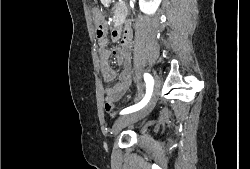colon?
Wrapping results in <instances>:
<instances>
[{
	"mask_svg": "<svg viewBox=\"0 0 250 169\" xmlns=\"http://www.w3.org/2000/svg\"><path fill=\"white\" fill-rule=\"evenodd\" d=\"M95 37H100V43H105V32H103V25L98 24L95 26ZM105 108H115V98L107 97Z\"/></svg>",
	"mask_w": 250,
	"mask_h": 169,
	"instance_id": "obj_1",
	"label": "colon"
}]
</instances>
